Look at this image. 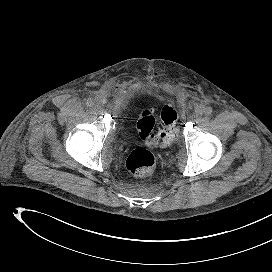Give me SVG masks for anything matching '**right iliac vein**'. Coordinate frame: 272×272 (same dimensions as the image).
<instances>
[{"mask_svg": "<svg viewBox=\"0 0 272 272\" xmlns=\"http://www.w3.org/2000/svg\"><path fill=\"white\" fill-rule=\"evenodd\" d=\"M94 107H95L96 110L100 111L102 109V103H101V101L100 100H96Z\"/></svg>", "mask_w": 272, "mask_h": 272, "instance_id": "63e3f726", "label": "right iliac vein"}]
</instances>
